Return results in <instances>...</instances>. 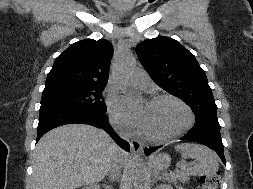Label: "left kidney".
Instances as JSON below:
<instances>
[{
  "mask_svg": "<svg viewBox=\"0 0 253 189\" xmlns=\"http://www.w3.org/2000/svg\"><path fill=\"white\" fill-rule=\"evenodd\" d=\"M156 189H172L171 186L166 185V184H162L160 186H158ZM176 189H184L182 187H177Z\"/></svg>",
  "mask_w": 253,
  "mask_h": 189,
  "instance_id": "obj_1",
  "label": "left kidney"
}]
</instances>
